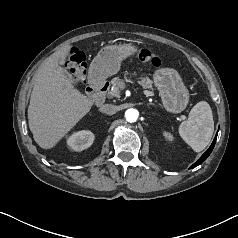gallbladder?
I'll return each mask as SVG.
<instances>
[{
  "instance_id": "bac80fb5",
  "label": "gallbladder",
  "mask_w": 238,
  "mask_h": 238,
  "mask_svg": "<svg viewBox=\"0 0 238 238\" xmlns=\"http://www.w3.org/2000/svg\"><path fill=\"white\" fill-rule=\"evenodd\" d=\"M65 73H66L67 76H69L68 72L65 71Z\"/></svg>"
}]
</instances>
